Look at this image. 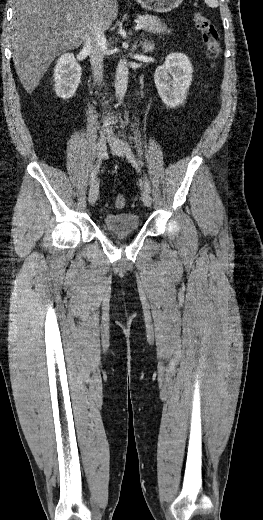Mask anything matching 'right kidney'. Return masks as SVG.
<instances>
[{"label": "right kidney", "instance_id": "right-kidney-1", "mask_svg": "<svg viewBox=\"0 0 263 520\" xmlns=\"http://www.w3.org/2000/svg\"><path fill=\"white\" fill-rule=\"evenodd\" d=\"M55 92L59 98L69 99L75 94L81 79V67L74 54L65 53L57 60L54 74Z\"/></svg>", "mask_w": 263, "mask_h": 520}]
</instances>
